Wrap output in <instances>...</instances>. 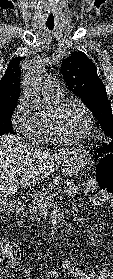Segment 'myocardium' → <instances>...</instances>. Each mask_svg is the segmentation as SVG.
<instances>
[{"label": "myocardium", "instance_id": "1", "mask_svg": "<svg viewBox=\"0 0 113 279\" xmlns=\"http://www.w3.org/2000/svg\"><path fill=\"white\" fill-rule=\"evenodd\" d=\"M70 104L78 105L85 113V115L87 117V121H88V126H87V130L85 131V133L80 136H77V137H68V136L62 135L59 132V130L56 127L54 120H53V117L56 115V113L60 112L62 109H64L66 106H68ZM52 111H53V115L51 117L47 118V124H48V127L51 131L53 138L56 141H58L60 143H66V144H76V143H80V142L87 140L92 135L93 130H94V117H93L90 109L81 100L76 99V98L62 99L55 104Z\"/></svg>", "mask_w": 113, "mask_h": 279}]
</instances>
